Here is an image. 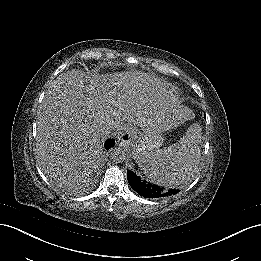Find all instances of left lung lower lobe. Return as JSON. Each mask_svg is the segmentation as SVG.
<instances>
[{"instance_id": "1", "label": "left lung lower lobe", "mask_w": 261, "mask_h": 261, "mask_svg": "<svg viewBox=\"0 0 261 261\" xmlns=\"http://www.w3.org/2000/svg\"><path fill=\"white\" fill-rule=\"evenodd\" d=\"M179 167H180V164H179ZM177 171L189 174V171H187V169L180 168V169H177ZM186 176H187V174H186ZM127 178H128V182H129L130 186L132 187V189L145 198L160 199V198L168 197V196L178 193V190H175V189L167 190V189H164L163 187H159L154 184H150L145 180H141L140 178H138V176H136V174L134 172H131L129 170L127 171Z\"/></svg>"}]
</instances>
